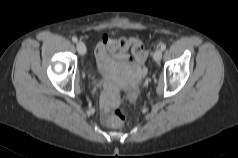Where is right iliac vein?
Listing matches in <instances>:
<instances>
[{
    "mask_svg": "<svg viewBox=\"0 0 238 158\" xmlns=\"http://www.w3.org/2000/svg\"><path fill=\"white\" fill-rule=\"evenodd\" d=\"M76 48L79 54L84 55L86 53V46L83 42H77Z\"/></svg>",
    "mask_w": 238,
    "mask_h": 158,
    "instance_id": "1",
    "label": "right iliac vein"
}]
</instances>
